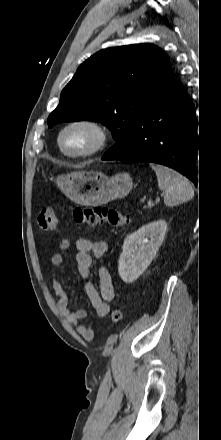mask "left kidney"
Segmentation results:
<instances>
[{"mask_svg":"<svg viewBox=\"0 0 221 440\" xmlns=\"http://www.w3.org/2000/svg\"><path fill=\"white\" fill-rule=\"evenodd\" d=\"M166 230L167 223L158 220L127 236L118 263L119 275L124 282L132 283L143 274L161 246Z\"/></svg>","mask_w":221,"mask_h":440,"instance_id":"5707ae66","label":"left kidney"}]
</instances>
